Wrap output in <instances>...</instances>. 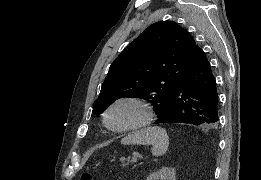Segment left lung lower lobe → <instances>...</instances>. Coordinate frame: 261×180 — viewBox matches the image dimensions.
<instances>
[{"instance_id": "left-lung-lower-lobe-1", "label": "left lung lower lobe", "mask_w": 261, "mask_h": 180, "mask_svg": "<svg viewBox=\"0 0 261 180\" xmlns=\"http://www.w3.org/2000/svg\"><path fill=\"white\" fill-rule=\"evenodd\" d=\"M218 93L210 64L198 48L195 60L175 85L155 124L187 123L214 129L218 123Z\"/></svg>"}]
</instances>
